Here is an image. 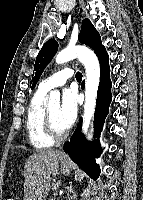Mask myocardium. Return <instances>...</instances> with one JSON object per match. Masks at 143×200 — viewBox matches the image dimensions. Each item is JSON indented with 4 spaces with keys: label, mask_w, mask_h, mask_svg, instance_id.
<instances>
[{
    "label": "myocardium",
    "mask_w": 143,
    "mask_h": 200,
    "mask_svg": "<svg viewBox=\"0 0 143 200\" xmlns=\"http://www.w3.org/2000/svg\"><path fill=\"white\" fill-rule=\"evenodd\" d=\"M43 129H44V133L45 135L52 140L53 142H57V141H61L63 140L67 135L69 130L66 129L64 132L62 133H58L55 131L52 121H51V116L49 113L48 109H45L44 112V118H43Z\"/></svg>",
    "instance_id": "f54148a6"
}]
</instances>
